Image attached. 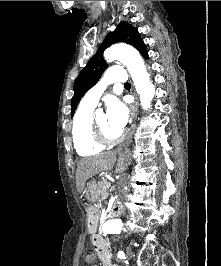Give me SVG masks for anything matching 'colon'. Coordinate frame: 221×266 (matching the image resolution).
I'll return each instance as SVG.
<instances>
[{
	"label": "colon",
	"mask_w": 221,
	"mask_h": 266,
	"mask_svg": "<svg viewBox=\"0 0 221 266\" xmlns=\"http://www.w3.org/2000/svg\"><path fill=\"white\" fill-rule=\"evenodd\" d=\"M93 261V257H92V255H88L87 256V262H92Z\"/></svg>",
	"instance_id": "1"
}]
</instances>
